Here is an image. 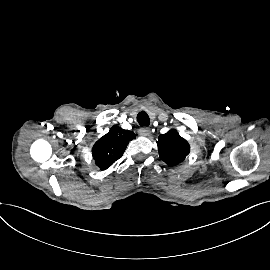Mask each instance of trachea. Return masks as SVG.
Wrapping results in <instances>:
<instances>
[{"label":"trachea","mask_w":270,"mask_h":270,"mask_svg":"<svg viewBox=\"0 0 270 270\" xmlns=\"http://www.w3.org/2000/svg\"><path fill=\"white\" fill-rule=\"evenodd\" d=\"M137 121L140 126H148L150 124V119L146 112H140L137 115Z\"/></svg>","instance_id":"1"}]
</instances>
